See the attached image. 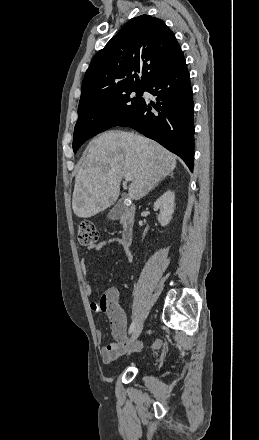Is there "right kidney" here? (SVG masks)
Segmentation results:
<instances>
[{"mask_svg":"<svg viewBox=\"0 0 259 440\" xmlns=\"http://www.w3.org/2000/svg\"><path fill=\"white\" fill-rule=\"evenodd\" d=\"M175 194L172 191H166L161 197H159L154 203V211H160L158 215V221L162 227L167 226L174 213L175 208Z\"/></svg>","mask_w":259,"mask_h":440,"instance_id":"1","label":"right kidney"}]
</instances>
